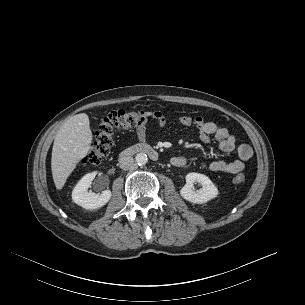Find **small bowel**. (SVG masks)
Wrapping results in <instances>:
<instances>
[{
    "label": "small bowel",
    "instance_id": "1",
    "mask_svg": "<svg viewBox=\"0 0 305 305\" xmlns=\"http://www.w3.org/2000/svg\"><path fill=\"white\" fill-rule=\"evenodd\" d=\"M161 128L167 124L166 118L157 112L154 117ZM177 123L185 127H194L198 132V138L203 143L214 141L218 148L223 152L236 151L237 159L234 161H212L203 164V168L216 173L237 174L242 172L245 164L252 158V148L247 144H236L235 137L230 131L217 123L206 121L203 117L192 118L190 116H180L176 119ZM137 137L140 141L146 138V128L144 125L137 127ZM171 164L175 167L183 168L187 165V159L182 156H176L171 159Z\"/></svg>",
    "mask_w": 305,
    "mask_h": 305
}]
</instances>
